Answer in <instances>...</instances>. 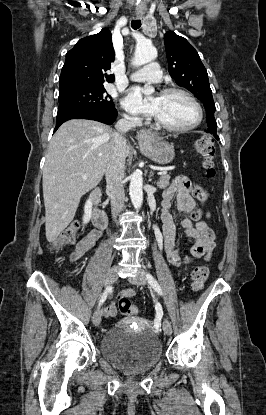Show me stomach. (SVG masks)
Masks as SVG:
<instances>
[{"mask_svg":"<svg viewBox=\"0 0 266 415\" xmlns=\"http://www.w3.org/2000/svg\"><path fill=\"white\" fill-rule=\"evenodd\" d=\"M140 150L145 156L158 164H168L175 156L173 146L157 137L140 141Z\"/></svg>","mask_w":266,"mask_h":415,"instance_id":"obj_1","label":"stomach"}]
</instances>
